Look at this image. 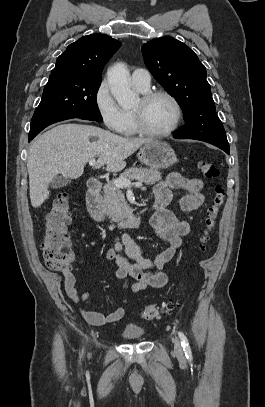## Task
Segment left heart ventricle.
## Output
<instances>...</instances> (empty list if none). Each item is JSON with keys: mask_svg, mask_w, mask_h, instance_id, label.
Segmentation results:
<instances>
[{"mask_svg": "<svg viewBox=\"0 0 265 407\" xmlns=\"http://www.w3.org/2000/svg\"><path fill=\"white\" fill-rule=\"evenodd\" d=\"M142 110L145 127L153 132L167 130L175 119L173 104L164 97H157L146 105H142L141 99L133 110Z\"/></svg>", "mask_w": 265, "mask_h": 407, "instance_id": "1", "label": "left heart ventricle"}]
</instances>
